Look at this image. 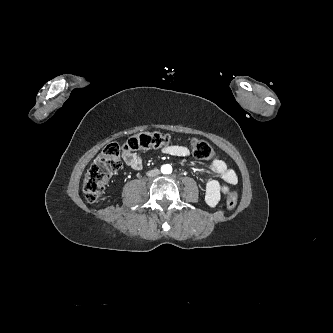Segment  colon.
Returning <instances> with one entry per match:
<instances>
[{
	"label": "colon",
	"mask_w": 333,
	"mask_h": 333,
	"mask_svg": "<svg viewBox=\"0 0 333 333\" xmlns=\"http://www.w3.org/2000/svg\"><path fill=\"white\" fill-rule=\"evenodd\" d=\"M171 140L167 134L160 132H141L132 135L120 146L118 143L108 144L89 168L84 182L83 193L90 203L97 202L102 196L108 178L121 168V155L125 152L155 149L166 146ZM190 149L200 160L213 161L216 157L214 149L205 141L192 139ZM237 204V192L231 189L228 193L226 205L233 210Z\"/></svg>",
	"instance_id": "1"
}]
</instances>
